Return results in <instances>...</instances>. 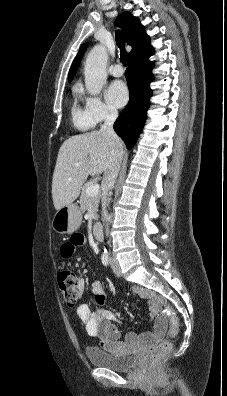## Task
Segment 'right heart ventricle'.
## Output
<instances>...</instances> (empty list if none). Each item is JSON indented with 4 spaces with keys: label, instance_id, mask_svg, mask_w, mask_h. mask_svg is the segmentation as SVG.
Masks as SVG:
<instances>
[{
    "label": "right heart ventricle",
    "instance_id": "obj_1",
    "mask_svg": "<svg viewBox=\"0 0 227 396\" xmlns=\"http://www.w3.org/2000/svg\"><path fill=\"white\" fill-rule=\"evenodd\" d=\"M71 120L74 127L79 131H87L94 127V123L87 116L85 109H82L77 100H74L71 107Z\"/></svg>",
    "mask_w": 227,
    "mask_h": 396
}]
</instances>
